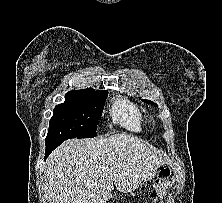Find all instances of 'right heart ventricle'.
Returning a JSON list of instances; mask_svg holds the SVG:
<instances>
[{
    "instance_id": "obj_1",
    "label": "right heart ventricle",
    "mask_w": 222,
    "mask_h": 203,
    "mask_svg": "<svg viewBox=\"0 0 222 203\" xmlns=\"http://www.w3.org/2000/svg\"><path fill=\"white\" fill-rule=\"evenodd\" d=\"M111 114L113 119L134 132H140L143 129L145 118L141 111L126 100H118L114 103Z\"/></svg>"
}]
</instances>
